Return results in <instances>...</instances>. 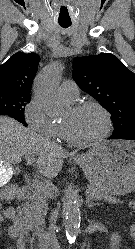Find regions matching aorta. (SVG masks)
<instances>
[{"label": "aorta", "mask_w": 135, "mask_h": 249, "mask_svg": "<svg viewBox=\"0 0 135 249\" xmlns=\"http://www.w3.org/2000/svg\"><path fill=\"white\" fill-rule=\"evenodd\" d=\"M64 67L61 62H55L48 66L36 79L34 94L36 100L49 114L60 113L64 109L62 96L58 88V82ZM69 206L65 214V231L70 243L75 242L80 231L81 211L76 202V193L70 188L67 193Z\"/></svg>", "instance_id": "1"}]
</instances>
